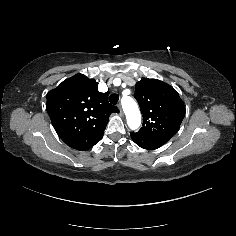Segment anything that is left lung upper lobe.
Masks as SVG:
<instances>
[{"instance_id": "1", "label": "left lung upper lobe", "mask_w": 236, "mask_h": 236, "mask_svg": "<svg viewBox=\"0 0 236 236\" xmlns=\"http://www.w3.org/2000/svg\"><path fill=\"white\" fill-rule=\"evenodd\" d=\"M134 96L143 114V126L137 134L169 140L185 116L177 91L165 82L145 78L136 83Z\"/></svg>"}]
</instances>
